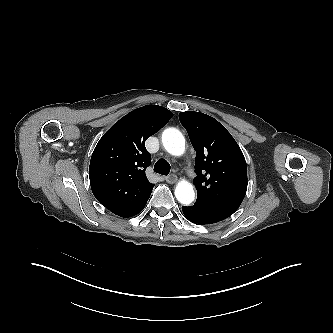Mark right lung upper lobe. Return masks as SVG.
<instances>
[{
  "label": "right lung upper lobe",
  "instance_id": "1",
  "mask_svg": "<svg viewBox=\"0 0 333 333\" xmlns=\"http://www.w3.org/2000/svg\"><path fill=\"white\" fill-rule=\"evenodd\" d=\"M172 115L161 106H143L121 118L99 140L90 161V184L97 200L112 213L128 218L149 199L154 184L145 174L151 163L145 141Z\"/></svg>",
  "mask_w": 333,
  "mask_h": 333
}]
</instances>
